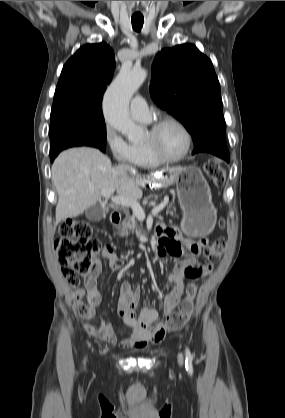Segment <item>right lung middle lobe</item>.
<instances>
[{"instance_id":"1","label":"right lung middle lobe","mask_w":285,"mask_h":418,"mask_svg":"<svg viewBox=\"0 0 285 418\" xmlns=\"http://www.w3.org/2000/svg\"><path fill=\"white\" fill-rule=\"evenodd\" d=\"M74 146L106 150L102 107L81 104L53 105L50 116V158Z\"/></svg>"}]
</instances>
